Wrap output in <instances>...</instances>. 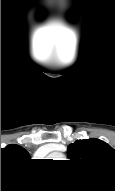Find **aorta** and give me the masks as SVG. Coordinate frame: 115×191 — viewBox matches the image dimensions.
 <instances>
[{
  "instance_id": "aorta-1",
  "label": "aorta",
  "mask_w": 115,
  "mask_h": 191,
  "mask_svg": "<svg viewBox=\"0 0 115 191\" xmlns=\"http://www.w3.org/2000/svg\"><path fill=\"white\" fill-rule=\"evenodd\" d=\"M54 159H62L64 156L60 153H56L53 155Z\"/></svg>"
}]
</instances>
